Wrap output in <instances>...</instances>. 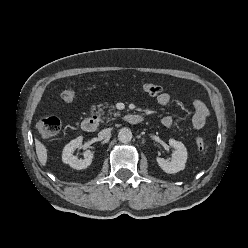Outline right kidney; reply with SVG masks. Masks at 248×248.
I'll return each mask as SVG.
<instances>
[{"instance_id": "right-kidney-1", "label": "right kidney", "mask_w": 248, "mask_h": 248, "mask_svg": "<svg viewBox=\"0 0 248 248\" xmlns=\"http://www.w3.org/2000/svg\"><path fill=\"white\" fill-rule=\"evenodd\" d=\"M82 137H78L72 141H70L63 149L62 152V161L68 164L71 168L76 170L86 169L91 165L94 152L90 150H86L84 152V159H78L73 155V152L77 148L82 147Z\"/></svg>"}]
</instances>
